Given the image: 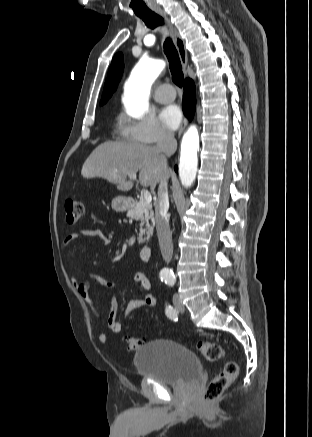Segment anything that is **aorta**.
Segmentation results:
<instances>
[{"instance_id": "aorta-1", "label": "aorta", "mask_w": 312, "mask_h": 437, "mask_svg": "<svg viewBox=\"0 0 312 437\" xmlns=\"http://www.w3.org/2000/svg\"><path fill=\"white\" fill-rule=\"evenodd\" d=\"M164 67V61L147 57L136 64L125 85L124 105L129 116L142 118L148 109L151 86ZM198 150V130L196 126H191L182 138L180 152L179 177L185 188H189L196 178Z\"/></svg>"}]
</instances>
